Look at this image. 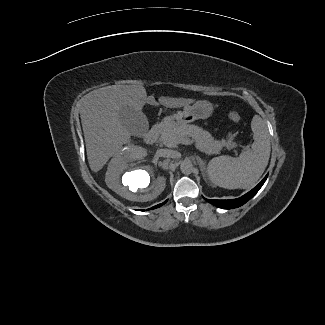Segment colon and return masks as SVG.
I'll return each instance as SVG.
<instances>
[{
    "mask_svg": "<svg viewBox=\"0 0 325 325\" xmlns=\"http://www.w3.org/2000/svg\"><path fill=\"white\" fill-rule=\"evenodd\" d=\"M228 116L233 122H239L241 119L240 115L235 111H230Z\"/></svg>",
    "mask_w": 325,
    "mask_h": 325,
    "instance_id": "colon-1",
    "label": "colon"
}]
</instances>
